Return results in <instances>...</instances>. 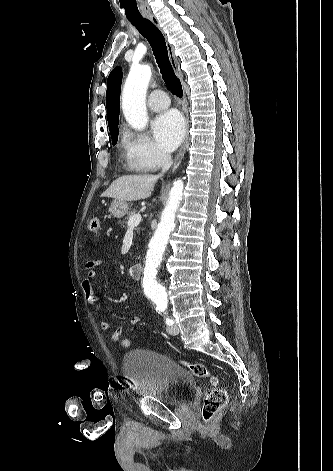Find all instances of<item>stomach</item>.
<instances>
[{
	"instance_id": "0dacf381",
	"label": "stomach",
	"mask_w": 333,
	"mask_h": 471,
	"mask_svg": "<svg viewBox=\"0 0 333 471\" xmlns=\"http://www.w3.org/2000/svg\"><path fill=\"white\" fill-rule=\"evenodd\" d=\"M129 210V205L126 201H120V200H114L111 203V206L109 208V212L115 217V218H122Z\"/></svg>"
}]
</instances>
